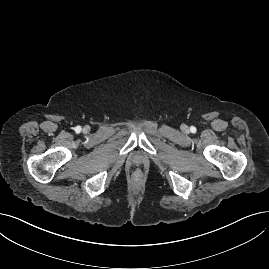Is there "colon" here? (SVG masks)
<instances>
[{
  "instance_id": "colon-1",
  "label": "colon",
  "mask_w": 269,
  "mask_h": 269,
  "mask_svg": "<svg viewBox=\"0 0 269 269\" xmlns=\"http://www.w3.org/2000/svg\"><path fill=\"white\" fill-rule=\"evenodd\" d=\"M142 176V171L140 169H136L134 171V177L140 178Z\"/></svg>"
}]
</instances>
